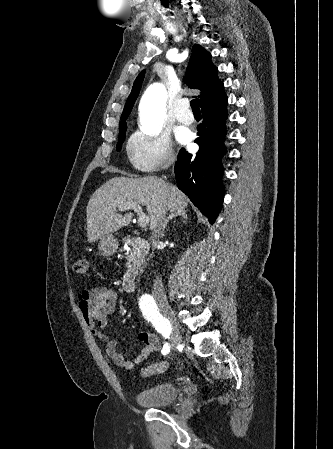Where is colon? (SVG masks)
I'll use <instances>...</instances> for the list:
<instances>
[{
	"label": "colon",
	"instance_id": "colon-1",
	"mask_svg": "<svg viewBox=\"0 0 333 449\" xmlns=\"http://www.w3.org/2000/svg\"><path fill=\"white\" fill-rule=\"evenodd\" d=\"M90 261L86 256H82L76 260L73 265V270L81 275H86L89 272ZM168 368V364L165 362L152 363L141 369L142 376H152L163 373Z\"/></svg>",
	"mask_w": 333,
	"mask_h": 449
}]
</instances>
